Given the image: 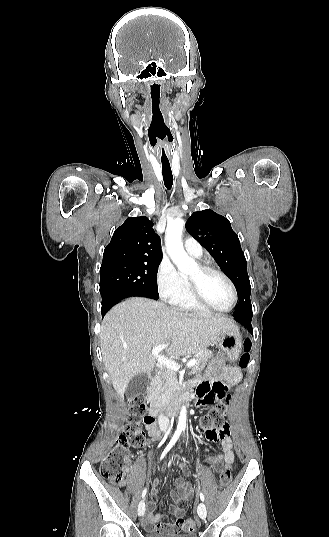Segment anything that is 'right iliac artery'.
I'll list each match as a JSON object with an SVG mask.
<instances>
[{"label":"right iliac artery","mask_w":329,"mask_h":537,"mask_svg":"<svg viewBox=\"0 0 329 537\" xmlns=\"http://www.w3.org/2000/svg\"><path fill=\"white\" fill-rule=\"evenodd\" d=\"M181 432H182V429L177 428V430L175 431V433H174L172 439L170 440L169 444L167 445L165 450L162 452V454L160 456V460L163 459V457L167 454V452L175 445L176 441L178 440V438L181 435ZM146 494H147V487L144 488V490L142 492V498H144L146 496Z\"/></svg>","instance_id":"82829eb1"}]
</instances>
